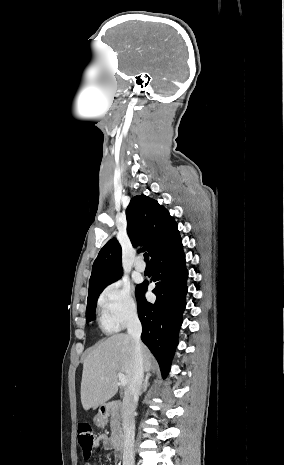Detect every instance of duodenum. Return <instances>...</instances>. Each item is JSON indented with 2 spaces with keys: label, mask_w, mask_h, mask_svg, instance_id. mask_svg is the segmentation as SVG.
Returning a JSON list of instances; mask_svg holds the SVG:
<instances>
[{
  "label": "duodenum",
  "mask_w": 284,
  "mask_h": 465,
  "mask_svg": "<svg viewBox=\"0 0 284 465\" xmlns=\"http://www.w3.org/2000/svg\"><path fill=\"white\" fill-rule=\"evenodd\" d=\"M119 405V402H113L107 405H104L100 408L98 412V421L101 425L104 424L106 417L109 415L110 411ZM125 444V436L121 430H116L112 435V446L117 450H121Z\"/></svg>",
  "instance_id": "obj_1"
}]
</instances>
